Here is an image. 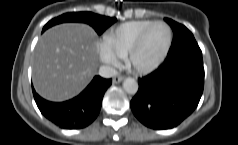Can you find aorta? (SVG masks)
<instances>
[{"instance_id": "aorta-1", "label": "aorta", "mask_w": 238, "mask_h": 145, "mask_svg": "<svg viewBox=\"0 0 238 145\" xmlns=\"http://www.w3.org/2000/svg\"><path fill=\"white\" fill-rule=\"evenodd\" d=\"M138 83L134 78H126L123 82V89L128 93V94H136L138 91Z\"/></svg>"}]
</instances>
